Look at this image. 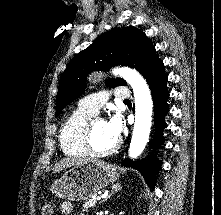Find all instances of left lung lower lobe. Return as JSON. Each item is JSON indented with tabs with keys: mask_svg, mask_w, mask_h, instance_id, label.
Masks as SVG:
<instances>
[{
	"mask_svg": "<svg viewBox=\"0 0 221 215\" xmlns=\"http://www.w3.org/2000/svg\"><path fill=\"white\" fill-rule=\"evenodd\" d=\"M143 76L149 84L152 93L155 111L154 144L159 146L163 143L162 131L166 127L164 116L169 110L167 106L169 92L166 87L168 77L164 71L163 62L161 60L157 61L144 72ZM122 166L136 168L144 174L147 182L152 186L154 185L155 175L157 174L156 169L160 170L159 161H156L153 157L146 161L125 159Z\"/></svg>",
	"mask_w": 221,
	"mask_h": 215,
	"instance_id": "left-lung-lower-lobe-1",
	"label": "left lung lower lobe"
}]
</instances>
